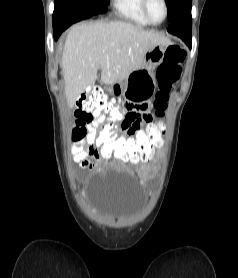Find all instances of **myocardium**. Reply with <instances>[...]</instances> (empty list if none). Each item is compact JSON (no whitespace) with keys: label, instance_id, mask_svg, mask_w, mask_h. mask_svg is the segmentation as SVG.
Instances as JSON below:
<instances>
[{"label":"myocardium","instance_id":"1","mask_svg":"<svg viewBox=\"0 0 238 278\" xmlns=\"http://www.w3.org/2000/svg\"><path fill=\"white\" fill-rule=\"evenodd\" d=\"M148 2L149 0H141V7L143 10L144 15L146 16V18L152 23V24H161L162 22H164L166 20V18L168 17L169 14V7H168V3L166 0H161L163 6H164V17L160 20V21H156L154 20L150 13H149V9H148Z\"/></svg>","mask_w":238,"mask_h":278}]
</instances>
